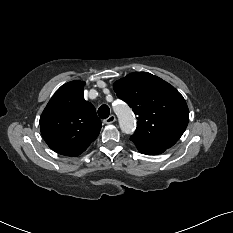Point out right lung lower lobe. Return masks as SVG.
Returning a JSON list of instances; mask_svg holds the SVG:
<instances>
[{
    "label": "right lung lower lobe",
    "instance_id": "right-lung-lower-lobe-1",
    "mask_svg": "<svg viewBox=\"0 0 233 233\" xmlns=\"http://www.w3.org/2000/svg\"><path fill=\"white\" fill-rule=\"evenodd\" d=\"M84 150H79V151H63V152H60L59 154H62V155H66V156H77L79 154H81Z\"/></svg>",
    "mask_w": 233,
    "mask_h": 233
}]
</instances>
